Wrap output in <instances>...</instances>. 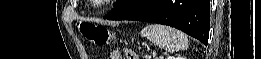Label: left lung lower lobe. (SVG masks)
<instances>
[{"instance_id": "0a47b994", "label": "left lung lower lobe", "mask_w": 261, "mask_h": 59, "mask_svg": "<svg viewBox=\"0 0 261 59\" xmlns=\"http://www.w3.org/2000/svg\"><path fill=\"white\" fill-rule=\"evenodd\" d=\"M104 18L169 25L207 45L210 0H124Z\"/></svg>"}]
</instances>
